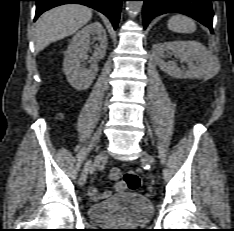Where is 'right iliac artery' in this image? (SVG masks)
I'll list each match as a JSON object with an SVG mask.
<instances>
[{"label":"right iliac artery","mask_w":234,"mask_h":231,"mask_svg":"<svg viewBox=\"0 0 234 231\" xmlns=\"http://www.w3.org/2000/svg\"><path fill=\"white\" fill-rule=\"evenodd\" d=\"M95 170H96L95 168H92V169L90 170V173L92 174Z\"/></svg>","instance_id":"1"}]
</instances>
